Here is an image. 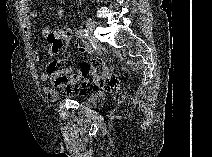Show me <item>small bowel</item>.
<instances>
[{"instance_id":"1","label":"small bowel","mask_w":212,"mask_h":157,"mask_svg":"<svg viewBox=\"0 0 212 157\" xmlns=\"http://www.w3.org/2000/svg\"><path fill=\"white\" fill-rule=\"evenodd\" d=\"M20 15H21V26L24 34L28 37H32V23L37 18V12L32 9L31 4L27 0H23L20 2ZM65 15V10L62 7H59L56 10V17L61 20ZM51 32L50 27L45 26L41 30V34L43 37H48ZM74 48L77 52L81 54H92L93 50L87 44L76 42L74 44ZM32 58L34 61H38L40 59V52L35 50L32 54ZM101 60L98 58H92L89 62H84L81 65V68H92L95 67ZM41 82L44 84L43 92L47 96L50 101H55L58 97V93L56 89L48 84L50 80V75L46 72L42 73L40 76Z\"/></svg>"}]
</instances>
